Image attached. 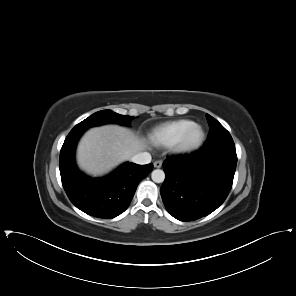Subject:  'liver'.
Returning a JSON list of instances; mask_svg holds the SVG:
<instances>
[{
	"instance_id": "1",
	"label": "liver",
	"mask_w": 296,
	"mask_h": 296,
	"mask_svg": "<svg viewBox=\"0 0 296 296\" xmlns=\"http://www.w3.org/2000/svg\"><path fill=\"white\" fill-rule=\"evenodd\" d=\"M144 149V141L130 129L104 125L84 134L78 145L77 162L88 174L100 176Z\"/></svg>"
}]
</instances>
